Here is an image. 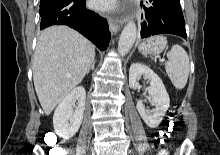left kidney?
<instances>
[{
  "mask_svg": "<svg viewBox=\"0 0 220 155\" xmlns=\"http://www.w3.org/2000/svg\"><path fill=\"white\" fill-rule=\"evenodd\" d=\"M141 76L150 81V86L147 88V91L151 96V101L155 105V108L152 113H149L142 101H138L136 107L146 125L150 128H156L161 123L169 108V95L159 76L151 68L142 63H133L130 66V88L138 89L140 87L138 81Z\"/></svg>",
  "mask_w": 220,
  "mask_h": 155,
  "instance_id": "obj_1",
  "label": "left kidney"
}]
</instances>
